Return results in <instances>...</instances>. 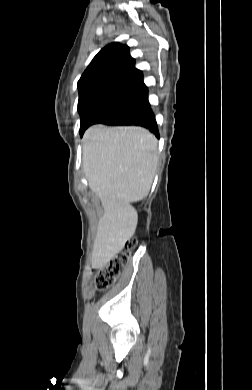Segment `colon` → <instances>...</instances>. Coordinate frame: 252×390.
Here are the masks:
<instances>
[{"mask_svg":"<svg viewBox=\"0 0 252 390\" xmlns=\"http://www.w3.org/2000/svg\"><path fill=\"white\" fill-rule=\"evenodd\" d=\"M137 241L129 239L126 242L125 250L98 269L95 277V286L98 289H106L112 286L122 273L130 259L131 251L135 248Z\"/></svg>","mask_w":252,"mask_h":390,"instance_id":"1","label":"colon"}]
</instances>
